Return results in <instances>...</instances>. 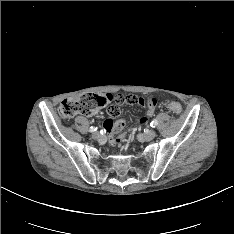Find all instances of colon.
I'll return each instance as SVG.
<instances>
[{
    "label": "colon",
    "mask_w": 234,
    "mask_h": 234,
    "mask_svg": "<svg viewBox=\"0 0 234 234\" xmlns=\"http://www.w3.org/2000/svg\"><path fill=\"white\" fill-rule=\"evenodd\" d=\"M105 97H110L112 102V97L109 94H81L63 100L58 111L60 116L65 119L72 118L77 114L91 115L100 109L107 111L109 104L104 103ZM168 107L177 115L182 112V107L177 102H168Z\"/></svg>",
    "instance_id": "5ec220e1"
}]
</instances>
